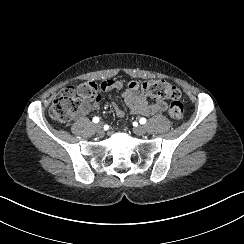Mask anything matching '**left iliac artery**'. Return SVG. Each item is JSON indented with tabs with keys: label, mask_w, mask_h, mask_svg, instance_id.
Returning a JSON list of instances; mask_svg holds the SVG:
<instances>
[{
	"label": "left iliac artery",
	"mask_w": 244,
	"mask_h": 244,
	"mask_svg": "<svg viewBox=\"0 0 244 244\" xmlns=\"http://www.w3.org/2000/svg\"><path fill=\"white\" fill-rule=\"evenodd\" d=\"M140 123H141V124H145V123H146V119H145V118H141V119H140Z\"/></svg>",
	"instance_id": "44dca946"
}]
</instances>
